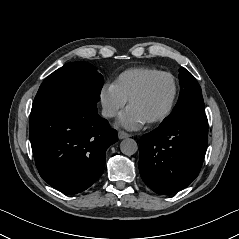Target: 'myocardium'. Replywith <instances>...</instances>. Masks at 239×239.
<instances>
[{
  "label": "myocardium",
  "mask_w": 239,
  "mask_h": 239,
  "mask_svg": "<svg viewBox=\"0 0 239 239\" xmlns=\"http://www.w3.org/2000/svg\"><path fill=\"white\" fill-rule=\"evenodd\" d=\"M162 77H166L169 78L171 83H172V95L170 98V101L168 103V105L166 106V108L158 115L148 119L146 122L147 123H157L160 121H163L165 118H167L169 116V114L171 113L175 101H176V97H177V83L176 80L174 79V77L167 72H158L157 74L149 77L136 91H134L131 96L128 99V105L130 106L131 103L133 101H135L136 99H138L140 96H142L146 90L148 89V87L157 79L162 78Z\"/></svg>",
  "instance_id": "1"
}]
</instances>
